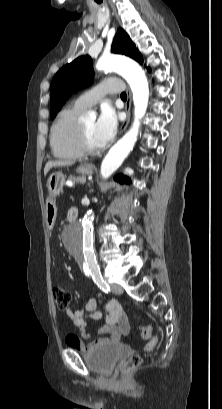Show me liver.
<instances>
[{"label": "liver", "mask_w": 222, "mask_h": 409, "mask_svg": "<svg viewBox=\"0 0 222 409\" xmlns=\"http://www.w3.org/2000/svg\"><path fill=\"white\" fill-rule=\"evenodd\" d=\"M72 164L73 162L71 161H48L44 168V175H47V173L52 167L69 166Z\"/></svg>", "instance_id": "1"}]
</instances>
